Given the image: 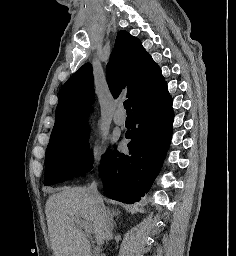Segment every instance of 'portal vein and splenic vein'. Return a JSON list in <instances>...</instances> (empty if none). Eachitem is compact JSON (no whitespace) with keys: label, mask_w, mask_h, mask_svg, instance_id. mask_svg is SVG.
Instances as JSON below:
<instances>
[{"label":"portal vein and splenic vein","mask_w":236,"mask_h":256,"mask_svg":"<svg viewBox=\"0 0 236 256\" xmlns=\"http://www.w3.org/2000/svg\"><path fill=\"white\" fill-rule=\"evenodd\" d=\"M74 224L79 226V228H84L86 234H91V228H88L86 222H83L82 218H79V216H75Z\"/></svg>","instance_id":"portal-vein-and-splenic-vein-1"}]
</instances>
